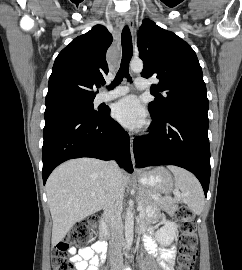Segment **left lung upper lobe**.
<instances>
[{
  "instance_id": "left-lung-upper-lobe-1",
  "label": "left lung upper lobe",
  "mask_w": 242,
  "mask_h": 270,
  "mask_svg": "<svg viewBox=\"0 0 242 270\" xmlns=\"http://www.w3.org/2000/svg\"><path fill=\"white\" fill-rule=\"evenodd\" d=\"M137 46L144 62L141 76L159 79L151 88L157 98L148 105L154 117L162 119L188 109L208 111L202 69L187 42L146 19L138 31Z\"/></svg>"
}]
</instances>
